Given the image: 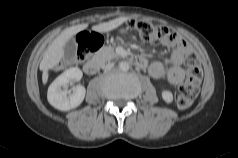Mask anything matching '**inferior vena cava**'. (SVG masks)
Segmentation results:
<instances>
[{"label": "inferior vena cava", "instance_id": "602c4592", "mask_svg": "<svg viewBox=\"0 0 238 158\" xmlns=\"http://www.w3.org/2000/svg\"><path fill=\"white\" fill-rule=\"evenodd\" d=\"M114 64L113 63H108L105 67H104V70L105 71H109L113 68Z\"/></svg>", "mask_w": 238, "mask_h": 158}]
</instances>
